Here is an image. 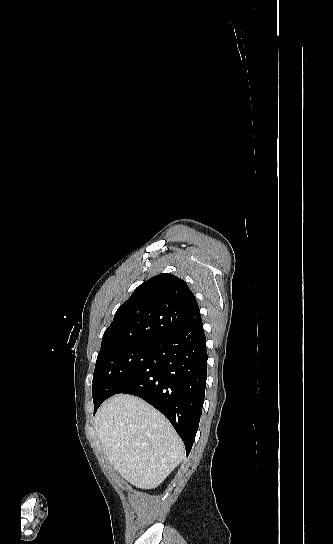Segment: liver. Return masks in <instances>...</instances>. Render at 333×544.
<instances>
[{
	"instance_id": "obj_1",
	"label": "liver",
	"mask_w": 333,
	"mask_h": 544,
	"mask_svg": "<svg viewBox=\"0 0 333 544\" xmlns=\"http://www.w3.org/2000/svg\"><path fill=\"white\" fill-rule=\"evenodd\" d=\"M95 429L109 462L141 489L158 487L184 458L183 443L170 422L135 396L119 394L103 403Z\"/></svg>"
}]
</instances>
